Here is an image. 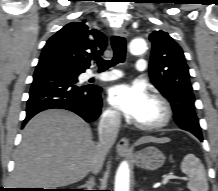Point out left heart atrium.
<instances>
[{"mask_svg":"<svg viewBox=\"0 0 218 191\" xmlns=\"http://www.w3.org/2000/svg\"><path fill=\"white\" fill-rule=\"evenodd\" d=\"M150 100L143 83L119 84L109 91V103L126 116L137 120Z\"/></svg>","mask_w":218,"mask_h":191,"instance_id":"left-heart-atrium-1","label":"left heart atrium"}]
</instances>
